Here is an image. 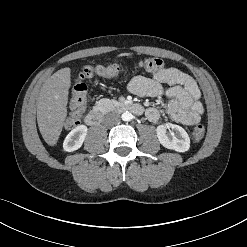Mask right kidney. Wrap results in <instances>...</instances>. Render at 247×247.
<instances>
[{
    "mask_svg": "<svg viewBox=\"0 0 247 247\" xmlns=\"http://www.w3.org/2000/svg\"><path fill=\"white\" fill-rule=\"evenodd\" d=\"M87 127L85 125H80L74 128L65 138L63 143V149L67 152H72L78 150L87 135Z\"/></svg>",
    "mask_w": 247,
    "mask_h": 247,
    "instance_id": "right-kidney-1",
    "label": "right kidney"
}]
</instances>
